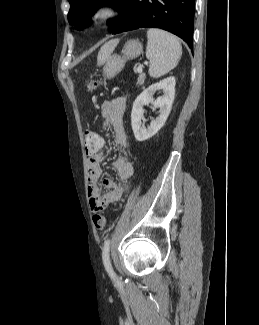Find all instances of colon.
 Returning <instances> with one entry per match:
<instances>
[{
    "mask_svg": "<svg viewBox=\"0 0 259 325\" xmlns=\"http://www.w3.org/2000/svg\"><path fill=\"white\" fill-rule=\"evenodd\" d=\"M101 81H92L89 84L91 90H95L102 86ZM84 142L86 149H100L103 144V139L101 135H97L96 130H86L84 132ZM93 224L98 231H103L106 227V218L101 213H95L93 215Z\"/></svg>",
    "mask_w": 259,
    "mask_h": 325,
    "instance_id": "colon-1",
    "label": "colon"
}]
</instances>
